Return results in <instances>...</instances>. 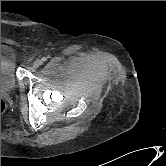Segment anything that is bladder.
<instances>
[{"label":"bladder","mask_w":166,"mask_h":166,"mask_svg":"<svg viewBox=\"0 0 166 166\" xmlns=\"http://www.w3.org/2000/svg\"><path fill=\"white\" fill-rule=\"evenodd\" d=\"M17 55L15 49L1 42V92L11 91L17 84Z\"/></svg>","instance_id":"bladder-1"}]
</instances>
